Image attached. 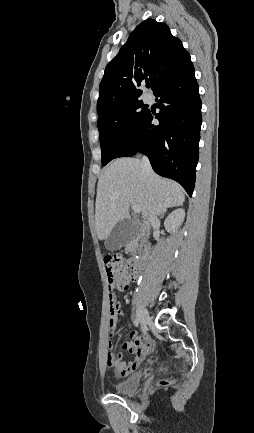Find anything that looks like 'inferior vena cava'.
<instances>
[{
  "label": "inferior vena cava",
  "instance_id": "602c4592",
  "mask_svg": "<svg viewBox=\"0 0 254 433\" xmlns=\"http://www.w3.org/2000/svg\"><path fill=\"white\" fill-rule=\"evenodd\" d=\"M142 166H143L144 170L147 171V172H150L152 170L150 162H149V159L146 156L142 157ZM155 219H156V216L153 215V214H150L149 217H148V221L149 222H152ZM147 226H148V229H149V227H150L149 223H147Z\"/></svg>",
  "mask_w": 254,
  "mask_h": 433
}]
</instances>
